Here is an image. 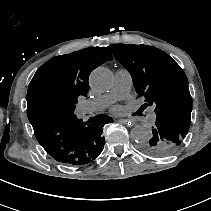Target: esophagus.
I'll return each mask as SVG.
<instances>
[{"instance_id":"1","label":"esophagus","mask_w":211,"mask_h":211,"mask_svg":"<svg viewBox=\"0 0 211 211\" xmlns=\"http://www.w3.org/2000/svg\"><path fill=\"white\" fill-rule=\"evenodd\" d=\"M120 123H123V124H127V126L129 128H132L134 126V123H133V120L131 118H127V119H119L118 120Z\"/></svg>"}]
</instances>
